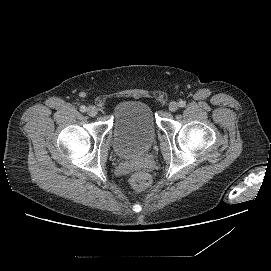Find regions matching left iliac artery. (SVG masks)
<instances>
[{"mask_svg": "<svg viewBox=\"0 0 271 271\" xmlns=\"http://www.w3.org/2000/svg\"><path fill=\"white\" fill-rule=\"evenodd\" d=\"M178 105H179V107H185L186 102L181 100V101H179Z\"/></svg>", "mask_w": 271, "mask_h": 271, "instance_id": "1", "label": "left iliac artery"}]
</instances>
